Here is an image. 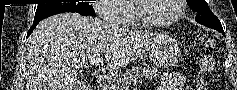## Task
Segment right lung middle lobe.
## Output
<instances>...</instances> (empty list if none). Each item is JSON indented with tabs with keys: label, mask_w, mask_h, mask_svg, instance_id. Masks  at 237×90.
Instances as JSON below:
<instances>
[{
	"label": "right lung middle lobe",
	"mask_w": 237,
	"mask_h": 90,
	"mask_svg": "<svg viewBox=\"0 0 237 90\" xmlns=\"http://www.w3.org/2000/svg\"><path fill=\"white\" fill-rule=\"evenodd\" d=\"M73 12L81 15L95 16V11L92 5L88 2L79 3H59V4H38L35 12L34 21H41L49 16L63 13Z\"/></svg>",
	"instance_id": "1"
}]
</instances>
